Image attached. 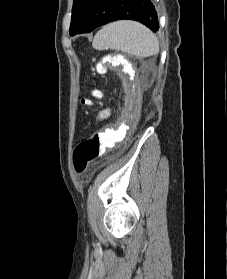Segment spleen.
Listing matches in <instances>:
<instances>
[{"mask_svg": "<svg viewBox=\"0 0 227 279\" xmlns=\"http://www.w3.org/2000/svg\"><path fill=\"white\" fill-rule=\"evenodd\" d=\"M92 46L97 50H120L137 57L159 52V42L154 33L134 21H117L104 26L96 33Z\"/></svg>", "mask_w": 227, "mask_h": 279, "instance_id": "obj_1", "label": "spleen"}]
</instances>
